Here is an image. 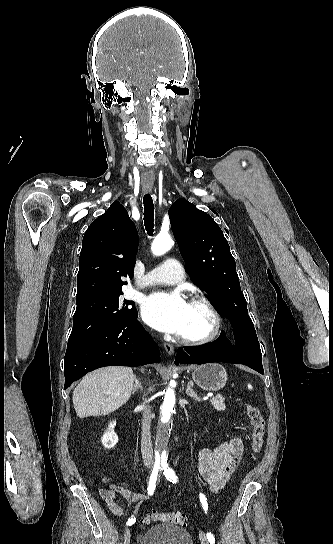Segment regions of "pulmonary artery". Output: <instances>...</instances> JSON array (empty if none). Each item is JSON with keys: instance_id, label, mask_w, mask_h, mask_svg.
Wrapping results in <instances>:
<instances>
[{"instance_id": "pulmonary-artery-1", "label": "pulmonary artery", "mask_w": 333, "mask_h": 544, "mask_svg": "<svg viewBox=\"0 0 333 544\" xmlns=\"http://www.w3.org/2000/svg\"><path fill=\"white\" fill-rule=\"evenodd\" d=\"M184 279V270L181 263L168 258L158 267L150 271L145 277L146 285L175 284Z\"/></svg>"}]
</instances>
